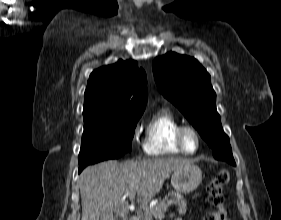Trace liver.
<instances>
[{"instance_id": "liver-1", "label": "liver", "mask_w": 281, "mask_h": 220, "mask_svg": "<svg viewBox=\"0 0 281 220\" xmlns=\"http://www.w3.org/2000/svg\"><path fill=\"white\" fill-rule=\"evenodd\" d=\"M191 164L193 160L171 157L124 164L109 160L88 166L79 178L81 220L124 218L129 211L126 193H137V202L145 204L161 190L172 171Z\"/></svg>"}]
</instances>
